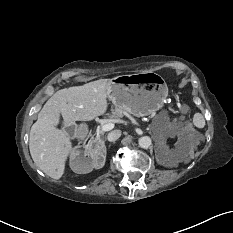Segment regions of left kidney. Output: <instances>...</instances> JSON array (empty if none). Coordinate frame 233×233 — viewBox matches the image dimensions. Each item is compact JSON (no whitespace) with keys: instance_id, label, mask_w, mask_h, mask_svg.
<instances>
[{"instance_id":"left-kidney-1","label":"left kidney","mask_w":233,"mask_h":233,"mask_svg":"<svg viewBox=\"0 0 233 233\" xmlns=\"http://www.w3.org/2000/svg\"><path fill=\"white\" fill-rule=\"evenodd\" d=\"M181 147H182V143L180 141H179V148L177 152H171L169 148L165 146L166 154L169 155L174 162H179L182 159V156L180 155V151H179Z\"/></svg>"}]
</instances>
